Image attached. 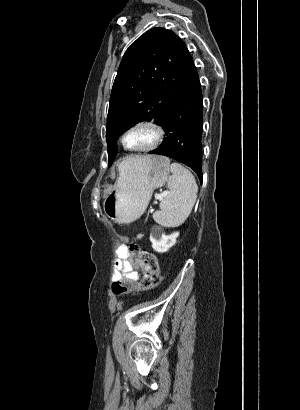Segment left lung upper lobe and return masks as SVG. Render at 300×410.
<instances>
[{
    "label": "left lung upper lobe",
    "instance_id": "1",
    "mask_svg": "<svg viewBox=\"0 0 300 410\" xmlns=\"http://www.w3.org/2000/svg\"><path fill=\"white\" fill-rule=\"evenodd\" d=\"M194 62L172 31L153 28L125 52L115 78L107 117L108 166L118 152L116 140L141 121L160 125L181 94Z\"/></svg>",
    "mask_w": 300,
    "mask_h": 410
}]
</instances>
